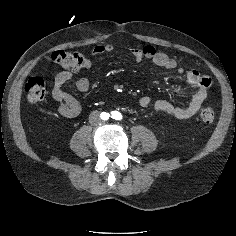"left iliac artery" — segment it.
Here are the masks:
<instances>
[{
	"instance_id": "obj_1",
	"label": "left iliac artery",
	"mask_w": 236,
	"mask_h": 236,
	"mask_svg": "<svg viewBox=\"0 0 236 236\" xmlns=\"http://www.w3.org/2000/svg\"><path fill=\"white\" fill-rule=\"evenodd\" d=\"M112 118L116 119V120H121L122 119V115L117 112V111H113L112 112Z\"/></svg>"
}]
</instances>
